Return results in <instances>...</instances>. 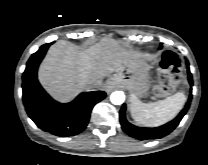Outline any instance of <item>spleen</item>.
<instances>
[{
  "mask_svg": "<svg viewBox=\"0 0 208 165\" xmlns=\"http://www.w3.org/2000/svg\"><path fill=\"white\" fill-rule=\"evenodd\" d=\"M186 102L183 92L157 102L143 103L136 96H131L130 113L134 121L142 126L156 127L172 120Z\"/></svg>",
  "mask_w": 208,
  "mask_h": 165,
  "instance_id": "obj_1",
  "label": "spleen"
}]
</instances>
